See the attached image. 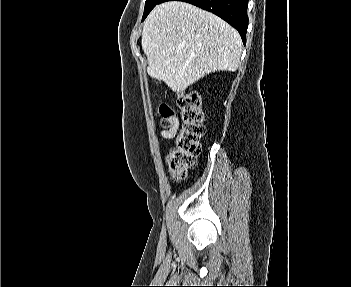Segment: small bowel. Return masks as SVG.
<instances>
[{"instance_id": "obj_1", "label": "small bowel", "mask_w": 351, "mask_h": 287, "mask_svg": "<svg viewBox=\"0 0 351 287\" xmlns=\"http://www.w3.org/2000/svg\"><path fill=\"white\" fill-rule=\"evenodd\" d=\"M178 127H179V122L177 118L174 117L171 123L169 124V126L167 128L162 129L159 132V134L164 139H171L176 135Z\"/></svg>"}]
</instances>
